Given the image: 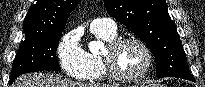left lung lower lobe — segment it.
I'll return each instance as SVG.
<instances>
[{"instance_id": "obj_1", "label": "left lung lower lobe", "mask_w": 205, "mask_h": 87, "mask_svg": "<svg viewBox=\"0 0 205 87\" xmlns=\"http://www.w3.org/2000/svg\"><path fill=\"white\" fill-rule=\"evenodd\" d=\"M188 80L195 81V79H194V77H193V76L191 77V79H188Z\"/></svg>"}]
</instances>
